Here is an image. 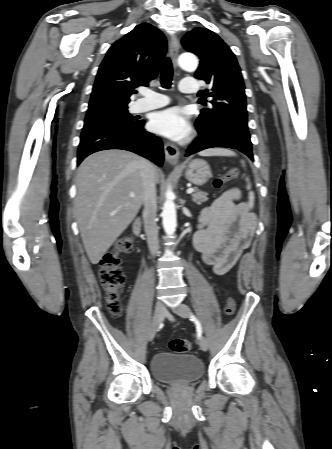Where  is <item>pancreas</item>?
Masks as SVG:
<instances>
[{"mask_svg":"<svg viewBox=\"0 0 332 449\" xmlns=\"http://www.w3.org/2000/svg\"><path fill=\"white\" fill-rule=\"evenodd\" d=\"M192 199L193 202H195L198 205H201L202 203L208 200L207 193L196 190V192L192 194Z\"/></svg>","mask_w":332,"mask_h":449,"instance_id":"cf45deb5","label":"pancreas"}]
</instances>
